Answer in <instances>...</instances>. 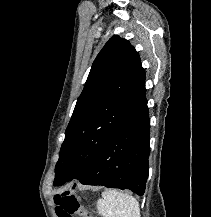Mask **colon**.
Segmentation results:
<instances>
[{
	"label": "colon",
	"instance_id": "5ec220e1",
	"mask_svg": "<svg viewBox=\"0 0 211 217\" xmlns=\"http://www.w3.org/2000/svg\"><path fill=\"white\" fill-rule=\"evenodd\" d=\"M55 203L59 217H72L75 214H79L81 217H95L81 206L73 190L57 195Z\"/></svg>",
	"mask_w": 211,
	"mask_h": 217
}]
</instances>
